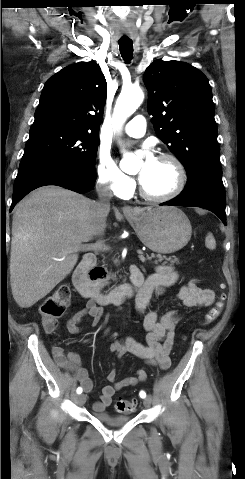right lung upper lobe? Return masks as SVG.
Segmentation results:
<instances>
[{
	"label": "right lung upper lobe",
	"mask_w": 245,
	"mask_h": 479,
	"mask_svg": "<svg viewBox=\"0 0 245 479\" xmlns=\"http://www.w3.org/2000/svg\"><path fill=\"white\" fill-rule=\"evenodd\" d=\"M107 83L93 61L60 70L44 85L31 127L60 125L98 133Z\"/></svg>",
	"instance_id": "1"
}]
</instances>
